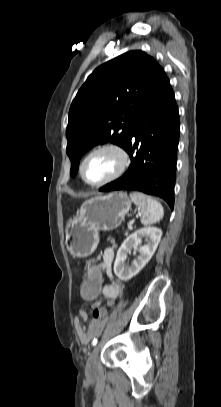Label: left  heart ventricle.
I'll return each instance as SVG.
<instances>
[{
	"instance_id": "1",
	"label": "left heart ventricle",
	"mask_w": 221,
	"mask_h": 407,
	"mask_svg": "<svg viewBox=\"0 0 221 407\" xmlns=\"http://www.w3.org/2000/svg\"><path fill=\"white\" fill-rule=\"evenodd\" d=\"M120 164L112 151H102L91 156L85 164L84 174L89 182L103 181L116 172Z\"/></svg>"
}]
</instances>
